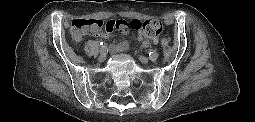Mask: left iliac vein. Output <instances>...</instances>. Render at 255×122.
<instances>
[{"instance_id":"4c4485c4","label":"left iliac vein","mask_w":255,"mask_h":122,"mask_svg":"<svg viewBox=\"0 0 255 122\" xmlns=\"http://www.w3.org/2000/svg\"><path fill=\"white\" fill-rule=\"evenodd\" d=\"M139 59L144 64H148L149 63V59L147 57L140 56Z\"/></svg>"}]
</instances>
